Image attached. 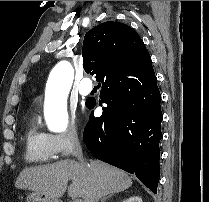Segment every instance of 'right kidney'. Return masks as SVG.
Returning a JSON list of instances; mask_svg holds the SVG:
<instances>
[{
    "mask_svg": "<svg viewBox=\"0 0 209 202\" xmlns=\"http://www.w3.org/2000/svg\"><path fill=\"white\" fill-rule=\"evenodd\" d=\"M123 202H142V199L138 196H133L124 200Z\"/></svg>",
    "mask_w": 209,
    "mask_h": 202,
    "instance_id": "ca27d5eb",
    "label": "right kidney"
}]
</instances>
